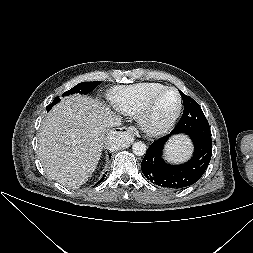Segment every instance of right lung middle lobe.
Wrapping results in <instances>:
<instances>
[{"instance_id": "dd1d6c3e", "label": "right lung middle lobe", "mask_w": 253, "mask_h": 253, "mask_svg": "<svg viewBox=\"0 0 253 253\" xmlns=\"http://www.w3.org/2000/svg\"><path fill=\"white\" fill-rule=\"evenodd\" d=\"M101 82L96 81V82H82L77 84L75 87L72 89L66 91L63 93L62 96L70 95V94H75V93H81V94H88L90 93L93 89H95ZM60 101L59 97H56L51 104H49L46 109L49 111L53 105L57 104Z\"/></svg>"}]
</instances>
